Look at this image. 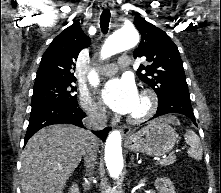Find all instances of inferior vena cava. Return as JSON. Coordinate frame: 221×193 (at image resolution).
I'll list each match as a JSON object with an SVG mask.
<instances>
[{"mask_svg":"<svg viewBox=\"0 0 221 193\" xmlns=\"http://www.w3.org/2000/svg\"><path fill=\"white\" fill-rule=\"evenodd\" d=\"M87 115V118L83 120V124L89 130H101L106 127L107 116L105 108H91L88 110ZM87 133L89 135L90 141L86 144L83 155L88 176H92L91 171L94 169L97 160V148L94 142L95 136L89 131Z\"/></svg>","mask_w":221,"mask_h":193,"instance_id":"602c4592","label":"inferior vena cava"}]
</instances>
